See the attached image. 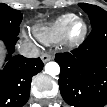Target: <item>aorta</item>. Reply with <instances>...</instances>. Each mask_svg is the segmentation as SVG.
<instances>
[{"mask_svg":"<svg viewBox=\"0 0 107 107\" xmlns=\"http://www.w3.org/2000/svg\"><path fill=\"white\" fill-rule=\"evenodd\" d=\"M45 72L50 76H56L60 73V66L56 62H48L45 65Z\"/></svg>","mask_w":107,"mask_h":107,"instance_id":"762f6f07","label":"aorta"}]
</instances>
